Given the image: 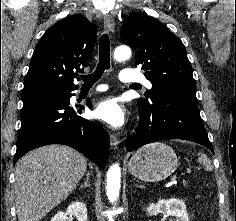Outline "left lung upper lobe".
Instances as JSON below:
<instances>
[{"mask_svg": "<svg viewBox=\"0 0 236 221\" xmlns=\"http://www.w3.org/2000/svg\"><path fill=\"white\" fill-rule=\"evenodd\" d=\"M121 40L135 51L136 65L152 83L138 105L149 103L161 93L196 96L192 67L182 41L157 19L132 13L121 28Z\"/></svg>", "mask_w": 236, "mask_h": 221, "instance_id": "left-lung-upper-lobe-1", "label": "left lung upper lobe"}]
</instances>
